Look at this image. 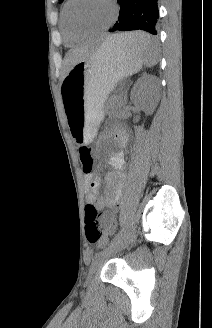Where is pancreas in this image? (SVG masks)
<instances>
[{
	"mask_svg": "<svg viewBox=\"0 0 212 328\" xmlns=\"http://www.w3.org/2000/svg\"><path fill=\"white\" fill-rule=\"evenodd\" d=\"M124 102L122 96H112L107 102V108L111 110V113H119Z\"/></svg>",
	"mask_w": 212,
	"mask_h": 328,
	"instance_id": "obj_1",
	"label": "pancreas"
}]
</instances>
